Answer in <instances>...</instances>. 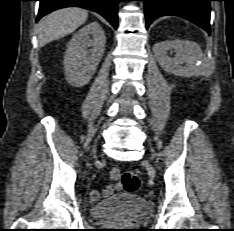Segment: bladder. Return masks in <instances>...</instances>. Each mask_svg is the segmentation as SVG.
I'll return each instance as SVG.
<instances>
[{"mask_svg": "<svg viewBox=\"0 0 234 231\" xmlns=\"http://www.w3.org/2000/svg\"><path fill=\"white\" fill-rule=\"evenodd\" d=\"M90 212L97 219L128 217L144 220L151 215V206L138 195L123 193L92 206Z\"/></svg>", "mask_w": 234, "mask_h": 231, "instance_id": "bladder-1", "label": "bladder"}]
</instances>
